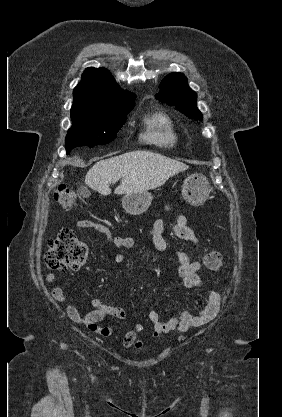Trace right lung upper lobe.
<instances>
[{
  "instance_id": "cb5924a9",
  "label": "right lung upper lobe",
  "mask_w": 282,
  "mask_h": 417,
  "mask_svg": "<svg viewBox=\"0 0 282 417\" xmlns=\"http://www.w3.org/2000/svg\"><path fill=\"white\" fill-rule=\"evenodd\" d=\"M74 97L135 96L122 90L105 68H87L81 82L75 87Z\"/></svg>"
}]
</instances>
